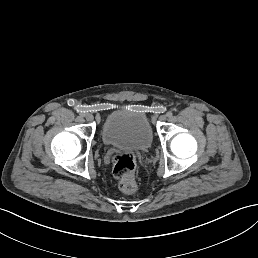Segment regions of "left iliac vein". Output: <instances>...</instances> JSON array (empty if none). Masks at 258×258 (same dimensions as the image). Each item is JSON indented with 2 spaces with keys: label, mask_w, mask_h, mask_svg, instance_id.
<instances>
[{
  "label": "left iliac vein",
  "mask_w": 258,
  "mask_h": 258,
  "mask_svg": "<svg viewBox=\"0 0 258 258\" xmlns=\"http://www.w3.org/2000/svg\"><path fill=\"white\" fill-rule=\"evenodd\" d=\"M166 119H167V118H166V116H164V115L160 117V120L163 121V122L166 121Z\"/></svg>",
  "instance_id": "left-iliac-vein-1"
}]
</instances>
